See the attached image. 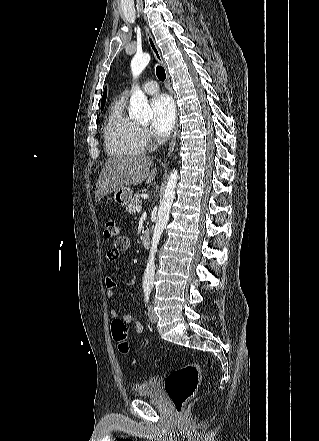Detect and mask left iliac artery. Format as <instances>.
Instances as JSON below:
<instances>
[{"mask_svg": "<svg viewBox=\"0 0 319 441\" xmlns=\"http://www.w3.org/2000/svg\"><path fill=\"white\" fill-rule=\"evenodd\" d=\"M149 295H150V290L145 291V302H146V304H148V302H149Z\"/></svg>", "mask_w": 319, "mask_h": 441, "instance_id": "44dca946", "label": "left iliac artery"}]
</instances>
